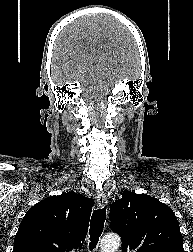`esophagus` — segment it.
Masks as SVG:
<instances>
[{"mask_svg": "<svg viewBox=\"0 0 193 252\" xmlns=\"http://www.w3.org/2000/svg\"><path fill=\"white\" fill-rule=\"evenodd\" d=\"M96 202H97L98 207L101 209L106 206L107 197H106V193L103 190L98 192Z\"/></svg>", "mask_w": 193, "mask_h": 252, "instance_id": "obj_1", "label": "esophagus"}]
</instances>
